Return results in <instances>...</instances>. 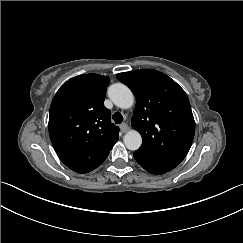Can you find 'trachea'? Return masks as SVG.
<instances>
[{"label":"trachea","instance_id":"trachea-1","mask_svg":"<svg viewBox=\"0 0 243 243\" xmlns=\"http://www.w3.org/2000/svg\"><path fill=\"white\" fill-rule=\"evenodd\" d=\"M116 124H121L123 121V116L119 112H115L112 116Z\"/></svg>","mask_w":243,"mask_h":243}]
</instances>
